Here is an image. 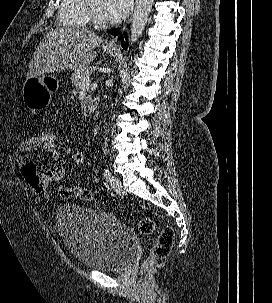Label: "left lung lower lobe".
<instances>
[{
    "label": "left lung lower lobe",
    "instance_id": "1",
    "mask_svg": "<svg viewBox=\"0 0 272 303\" xmlns=\"http://www.w3.org/2000/svg\"><path fill=\"white\" fill-rule=\"evenodd\" d=\"M118 32H119V29H114V30L109 31V33H112V34H115V35H117ZM122 46H123V48H124L125 50L127 49L126 43L123 42V43H122Z\"/></svg>",
    "mask_w": 272,
    "mask_h": 303
}]
</instances>
